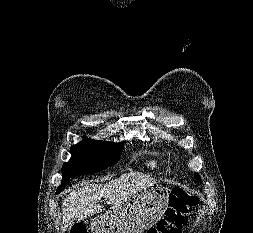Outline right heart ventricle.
<instances>
[{
	"label": "right heart ventricle",
	"instance_id": "right-heart-ventricle-1",
	"mask_svg": "<svg viewBox=\"0 0 253 233\" xmlns=\"http://www.w3.org/2000/svg\"><path fill=\"white\" fill-rule=\"evenodd\" d=\"M143 165L151 171H159L162 168L161 157L154 153L145 154L142 156Z\"/></svg>",
	"mask_w": 253,
	"mask_h": 233
}]
</instances>
